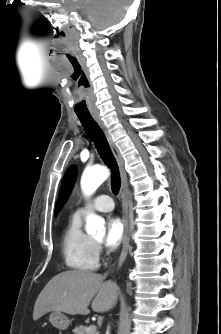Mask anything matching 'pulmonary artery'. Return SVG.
Listing matches in <instances>:
<instances>
[{"label": "pulmonary artery", "instance_id": "pulmonary-artery-1", "mask_svg": "<svg viewBox=\"0 0 221 334\" xmlns=\"http://www.w3.org/2000/svg\"><path fill=\"white\" fill-rule=\"evenodd\" d=\"M90 207L96 211L109 212L114 209L115 204L111 196L99 195L93 200ZM85 212H86V209L84 207H80L76 210L74 215L81 217L85 214Z\"/></svg>", "mask_w": 221, "mask_h": 334}]
</instances>
